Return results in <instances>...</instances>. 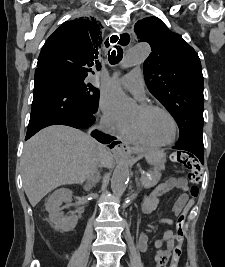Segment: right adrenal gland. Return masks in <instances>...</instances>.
Here are the masks:
<instances>
[{
    "instance_id": "2a0ac1e0",
    "label": "right adrenal gland",
    "mask_w": 225,
    "mask_h": 267,
    "mask_svg": "<svg viewBox=\"0 0 225 267\" xmlns=\"http://www.w3.org/2000/svg\"><path fill=\"white\" fill-rule=\"evenodd\" d=\"M92 187V184H90V183H87L86 185H85V189H89V188H91Z\"/></svg>"
}]
</instances>
